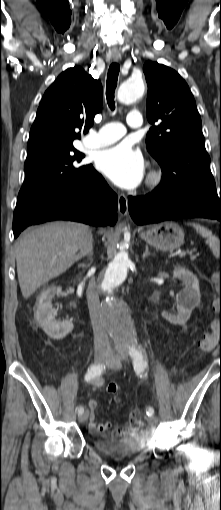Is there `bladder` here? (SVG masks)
<instances>
[{
	"label": "bladder",
	"mask_w": 221,
	"mask_h": 510,
	"mask_svg": "<svg viewBox=\"0 0 221 510\" xmlns=\"http://www.w3.org/2000/svg\"><path fill=\"white\" fill-rule=\"evenodd\" d=\"M92 442L97 451L111 457L135 456L146 448L145 442L139 437L123 439L108 436L105 438H94Z\"/></svg>",
	"instance_id": "1"
}]
</instances>
